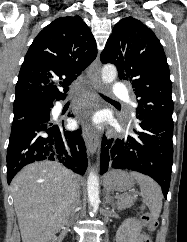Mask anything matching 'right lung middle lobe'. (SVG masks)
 Wrapping results in <instances>:
<instances>
[{"label":"right lung middle lobe","instance_id":"1","mask_svg":"<svg viewBox=\"0 0 187 242\" xmlns=\"http://www.w3.org/2000/svg\"><path fill=\"white\" fill-rule=\"evenodd\" d=\"M50 106L51 105H47V104H34V105L14 107L13 120H18V119L24 118L28 115H31V114L46 111L50 108Z\"/></svg>","mask_w":187,"mask_h":242}]
</instances>
